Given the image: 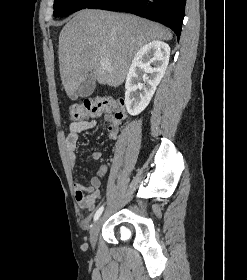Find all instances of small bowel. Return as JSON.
I'll return each instance as SVG.
<instances>
[{
  "label": "small bowel",
  "instance_id": "c3829d8e",
  "mask_svg": "<svg viewBox=\"0 0 247 280\" xmlns=\"http://www.w3.org/2000/svg\"><path fill=\"white\" fill-rule=\"evenodd\" d=\"M105 121L107 122L108 137L111 140H116L119 134V127L121 119H118L112 115H105ZM97 126L96 120H83L72 122L69 126V133L66 137V148L68 152V158L72 168H76L79 165L77 157L78 147V135L79 133L93 129ZM89 158L97 161L101 158V153L93 151ZM107 173V166L102 165L98 168L95 176L90 178L89 187H85L80 183H75V197L79 206L86 210H93L96 203L101 198V179Z\"/></svg>",
  "mask_w": 247,
  "mask_h": 280
}]
</instances>
